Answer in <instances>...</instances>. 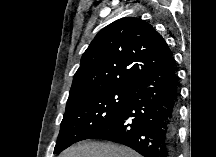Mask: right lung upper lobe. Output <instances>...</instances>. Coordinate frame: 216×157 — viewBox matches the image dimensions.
<instances>
[{
  "instance_id": "obj_1",
  "label": "right lung upper lobe",
  "mask_w": 216,
  "mask_h": 157,
  "mask_svg": "<svg viewBox=\"0 0 216 157\" xmlns=\"http://www.w3.org/2000/svg\"><path fill=\"white\" fill-rule=\"evenodd\" d=\"M171 56L163 37L147 22L116 20L98 32L82 55L67 105L91 91L133 86Z\"/></svg>"
}]
</instances>
